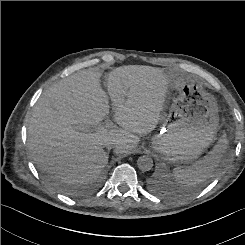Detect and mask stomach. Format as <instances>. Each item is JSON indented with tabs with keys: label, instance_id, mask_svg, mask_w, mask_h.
<instances>
[{
	"label": "stomach",
	"instance_id": "obj_1",
	"mask_svg": "<svg viewBox=\"0 0 245 245\" xmlns=\"http://www.w3.org/2000/svg\"><path fill=\"white\" fill-rule=\"evenodd\" d=\"M178 96L173 100L153 149L173 163L197 159L217 138L219 109L216 98L195 78H169Z\"/></svg>",
	"mask_w": 245,
	"mask_h": 245
}]
</instances>
